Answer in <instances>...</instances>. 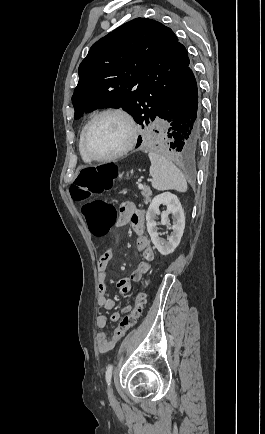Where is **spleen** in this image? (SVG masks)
Returning <instances> with one entry per match:
<instances>
[{
	"mask_svg": "<svg viewBox=\"0 0 265 434\" xmlns=\"http://www.w3.org/2000/svg\"><path fill=\"white\" fill-rule=\"evenodd\" d=\"M151 162L150 176H152V186L155 190H178V192H187V182L179 168L172 164L170 160L149 152Z\"/></svg>",
	"mask_w": 265,
	"mask_h": 434,
	"instance_id": "3e777b00",
	"label": "spleen"
}]
</instances>
